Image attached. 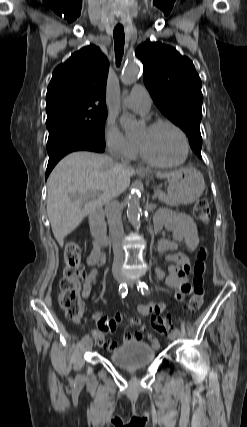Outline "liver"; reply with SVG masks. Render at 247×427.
Listing matches in <instances>:
<instances>
[{
    "mask_svg": "<svg viewBox=\"0 0 247 427\" xmlns=\"http://www.w3.org/2000/svg\"><path fill=\"white\" fill-rule=\"evenodd\" d=\"M133 174V169L104 154L78 151L64 157L47 182V214L59 245L63 246L64 238L100 203L123 193ZM172 174L159 173L157 177L169 178ZM98 192V197L86 200Z\"/></svg>",
    "mask_w": 247,
    "mask_h": 427,
    "instance_id": "1",
    "label": "liver"
}]
</instances>
